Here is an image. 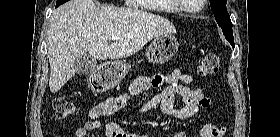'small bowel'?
Wrapping results in <instances>:
<instances>
[{
    "instance_id": "c3829d8e",
    "label": "small bowel",
    "mask_w": 280,
    "mask_h": 137,
    "mask_svg": "<svg viewBox=\"0 0 280 137\" xmlns=\"http://www.w3.org/2000/svg\"><path fill=\"white\" fill-rule=\"evenodd\" d=\"M194 82V77L190 74H183L180 70L174 69L167 74L156 73L153 76H142L135 80L129 87V95H138L146 90L158 88L162 84L165 87L145 101L140 111L146 112L156 107L166 115L177 119H189L197 115L200 108H207L211 105V100L207 98L200 88H192L190 84ZM180 96L183 104L180 107L175 105V97ZM126 105V100L120 95L111 97L102 103L97 104L90 111V120L86 121L75 131V137H86L91 130L102 126V118H114ZM214 127L212 124H205L201 129ZM103 137H135L128 133L115 121H110L105 125ZM173 137H186L185 133L178 132Z\"/></svg>"
}]
</instances>
